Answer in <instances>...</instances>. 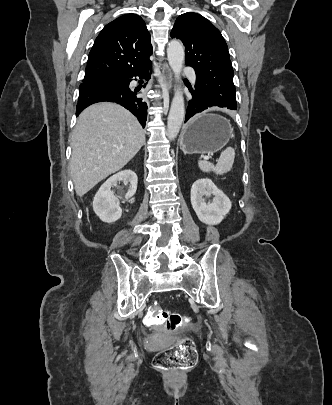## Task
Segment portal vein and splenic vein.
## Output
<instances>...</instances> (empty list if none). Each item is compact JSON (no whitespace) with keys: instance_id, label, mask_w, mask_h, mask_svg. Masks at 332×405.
Masks as SVG:
<instances>
[{"instance_id":"1","label":"portal vein and splenic vein","mask_w":332,"mask_h":405,"mask_svg":"<svg viewBox=\"0 0 332 405\" xmlns=\"http://www.w3.org/2000/svg\"><path fill=\"white\" fill-rule=\"evenodd\" d=\"M205 160H209V157H204Z\"/></svg>"}]
</instances>
